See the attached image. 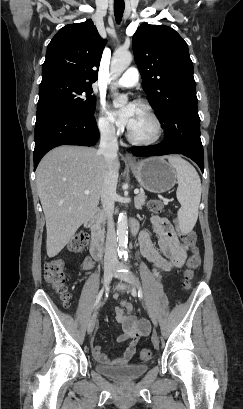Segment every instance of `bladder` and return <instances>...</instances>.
<instances>
[{
	"instance_id": "1",
	"label": "bladder",
	"mask_w": 243,
	"mask_h": 409,
	"mask_svg": "<svg viewBox=\"0 0 243 409\" xmlns=\"http://www.w3.org/2000/svg\"><path fill=\"white\" fill-rule=\"evenodd\" d=\"M96 371L107 377L119 381H131L142 377L148 370L147 364H123L117 366L102 365L97 363Z\"/></svg>"
}]
</instances>
